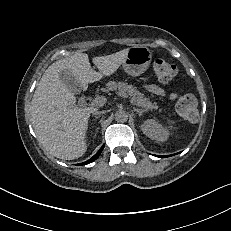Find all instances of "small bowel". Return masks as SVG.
Returning <instances> with one entry per match:
<instances>
[{
  "instance_id": "small-bowel-1",
  "label": "small bowel",
  "mask_w": 231,
  "mask_h": 231,
  "mask_svg": "<svg viewBox=\"0 0 231 231\" xmlns=\"http://www.w3.org/2000/svg\"><path fill=\"white\" fill-rule=\"evenodd\" d=\"M145 88L154 95L165 96V91L156 84H146Z\"/></svg>"
}]
</instances>
